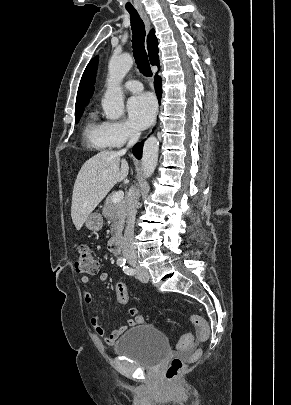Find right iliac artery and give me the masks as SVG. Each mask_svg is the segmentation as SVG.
Instances as JSON below:
<instances>
[{
  "label": "right iliac artery",
  "instance_id": "right-iliac-artery-1",
  "mask_svg": "<svg viewBox=\"0 0 291 405\" xmlns=\"http://www.w3.org/2000/svg\"><path fill=\"white\" fill-rule=\"evenodd\" d=\"M117 264L122 267V266H125L126 261L124 259H118Z\"/></svg>",
  "mask_w": 291,
  "mask_h": 405
}]
</instances>
